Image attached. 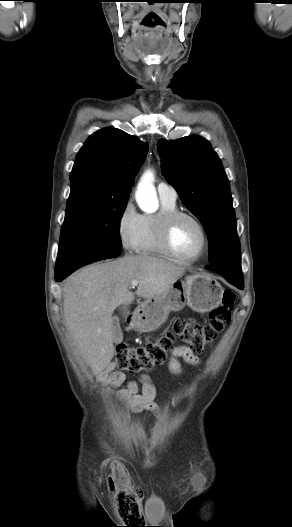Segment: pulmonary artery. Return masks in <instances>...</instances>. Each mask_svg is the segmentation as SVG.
Instances as JSON below:
<instances>
[{"instance_id":"pulmonary-artery-1","label":"pulmonary artery","mask_w":292,"mask_h":527,"mask_svg":"<svg viewBox=\"0 0 292 527\" xmlns=\"http://www.w3.org/2000/svg\"><path fill=\"white\" fill-rule=\"evenodd\" d=\"M157 190H158V193L160 195V197H164V198H168V199H171V200H176L177 199V191L176 189L165 183V182H161L158 184L157 186Z\"/></svg>"}]
</instances>
